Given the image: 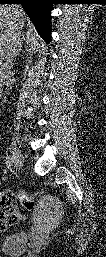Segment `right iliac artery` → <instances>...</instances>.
I'll return each instance as SVG.
<instances>
[{"mask_svg":"<svg viewBox=\"0 0 106 257\" xmlns=\"http://www.w3.org/2000/svg\"><path fill=\"white\" fill-rule=\"evenodd\" d=\"M6 164H7V167L11 170L13 167V158L9 155H7L6 157Z\"/></svg>","mask_w":106,"mask_h":257,"instance_id":"82829eb1","label":"right iliac artery"}]
</instances>
